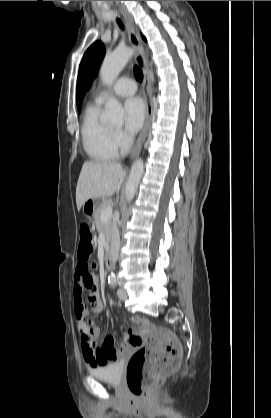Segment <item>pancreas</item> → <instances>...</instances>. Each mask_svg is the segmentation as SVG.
<instances>
[{
	"instance_id": "obj_1",
	"label": "pancreas",
	"mask_w": 271,
	"mask_h": 418,
	"mask_svg": "<svg viewBox=\"0 0 271 418\" xmlns=\"http://www.w3.org/2000/svg\"><path fill=\"white\" fill-rule=\"evenodd\" d=\"M109 205H110V202L108 200H103L94 214V222H95L96 228L98 232L100 233L102 232L104 234L106 241L110 240V236H111L112 228H113V222L110 219L105 222L102 221L101 213L103 209Z\"/></svg>"
}]
</instances>
